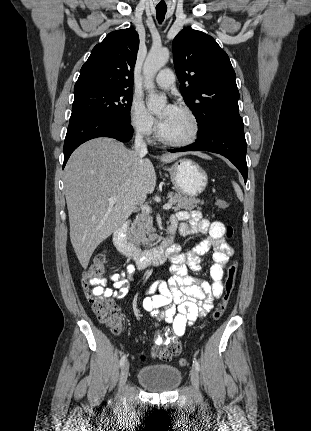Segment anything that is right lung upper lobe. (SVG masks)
Returning <instances> with one entry per match:
<instances>
[{"mask_svg":"<svg viewBox=\"0 0 311 431\" xmlns=\"http://www.w3.org/2000/svg\"><path fill=\"white\" fill-rule=\"evenodd\" d=\"M138 48L139 36L134 29L109 33L82 66L74 91L89 88L133 91Z\"/></svg>","mask_w":311,"mask_h":431,"instance_id":"obj_1","label":"right lung upper lobe"}]
</instances>
